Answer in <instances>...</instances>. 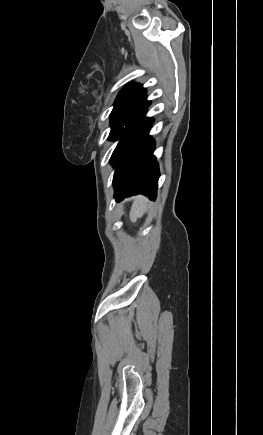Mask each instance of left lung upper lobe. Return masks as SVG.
I'll return each mask as SVG.
<instances>
[{"label":"left lung upper lobe","mask_w":263,"mask_h":435,"mask_svg":"<svg viewBox=\"0 0 263 435\" xmlns=\"http://www.w3.org/2000/svg\"><path fill=\"white\" fill-rule=\"evenodd\" d=\"M150 105L145 89L135 83L126 85L118 94L110 114L111 132L109 139L116 140Z\"/></svg>","instance_id":"obj_1"}]
</instances>
